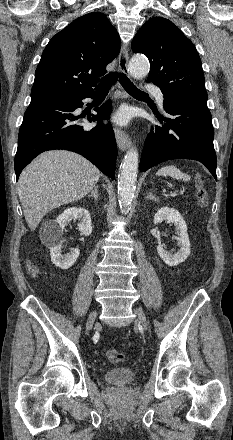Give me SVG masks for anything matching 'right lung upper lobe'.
<instances>
[{
    "instance_id": "obj_1",
    "label": "right lung upper lobe",
    "mask_w": 233,
    "mask_h": 440,
    "mask_svg": "<svg viewBox=\"0 0 233 440\" xmlns=\"http://www.w3.org/2000/svg\"><path fill=\"white\" fill-rule=\"evenodd\" d=\"M120 51V37L103 13L86 14L53 36L35 72L31 101L93 91Z\"/></svg>"
}]
</instances>
